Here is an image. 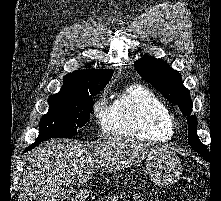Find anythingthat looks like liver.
I'll return each instance as SVG.
<instances>
[{
  "mask_svg": "<svg viewBox=\"0 0 221 201\" xmlns=\"http://www.w3.org/2000/svg\"><path fill=\"white\" fill-rule=\"evenodd\" d=\"M140 140L112 136L90 143L73 140L45 142L27 154L19 201H59L65 186L83 184L99 165L117 172L150 155L168 152Z\"/></svg>",
  "mask_w": 221,
  "mask_h": 201,
  "instance_id": "6515ba94",
  "label": "liver"
}]
</instances>
